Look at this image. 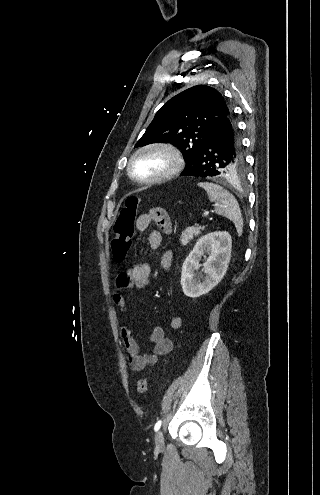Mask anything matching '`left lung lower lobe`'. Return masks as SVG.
I'll return each mask as SVG.
<instances>
[{
  "label": "left lung lower lobe",
  "mask_w": 320,
  "mask_h": 495,
  "mask_svg": "<svg viewBox=\"0 0 320 495\" xmlns=\"http://www.w3.org/2000/svg\"><path fill=\"white\" fill-rule=\"evenodd\" d=\"M241 153L240 137L231 114L215 129L181 176H217L223 166L233 163Z\"/></svg>",
  "instance_id": "1"
}]
</instances>
